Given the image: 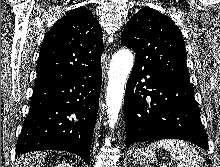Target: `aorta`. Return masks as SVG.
Listing matches in <instances>:
<instances>
[{"instance_id":"762f6f07","label":"aorta","mask_w":220,"mask_h":167,"mask_svg":"<svg viewBox=\"0 0 220 167\" xmlns=\"http://www.w3.org/2000/svg\"><path fill=\"white\" fill-rule=\"evenodd\" d=\"M134 56L128 49L119 50L112 56L108 73V90L106 95V107L109 127L114 129L118 121L124 86L133 67Z\"/></svg>"}]
</instances>
